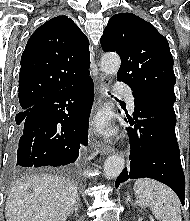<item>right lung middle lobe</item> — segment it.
Returning a JSON list of instances; mask_svg holds the SVG:
<instances>
[{
	"label": "right lung middle lobe",
	"mask_w": 190,
	"mask_h": 221,
	"mask_svg": "<svg viewBox=\"0 0 190 221\" xmlns=\"http://www.w3.org/2000/svg\"><path fill=\"white\" fill-rule=\"evenodd\" d=\"M15 120H16V124L17 125H21V123L24 120V116L21 114V112L16 115V119Z\"/></svg>",
	"instance_id": "obj_1"
}]
</instances>
